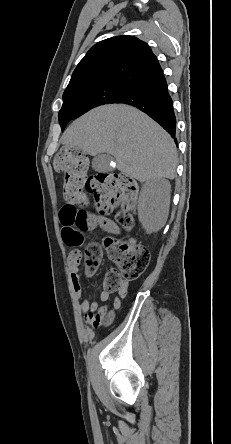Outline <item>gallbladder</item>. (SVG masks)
Here are the masks:
<instances>
[{
    "label": "gallbladder",
    "mask_w": 231,
    "mask_h": 444,
    "mask_svg": "<svg viewBox=\"0 0 231 444\" xmlns=\"http://www.w3.org/2000/svg\"><path fill=\"white\" fill-rule=\"evenodd\" d=\"M111 161V157L106 154H99L94 157L92 161V167L95 171L98 172H105L110 171L112 168L109 165V162Z\"/></svg>",
    "instance_id": "gallbladder-1"
}]
</instances>
